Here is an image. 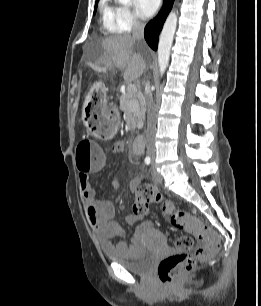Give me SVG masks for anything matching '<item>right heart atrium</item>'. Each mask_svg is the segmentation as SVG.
Wrapping results in <instances>:
<instances>
[{
  "instance_id": "d8ad5b80",
  "label": "right heart atrium",
  "mask_w": 261,
  "mask_h": 306,
  "mask_svg": "<svg viewBox=\"0 0 261 306\" xmlns=\"http://www.w3.org/2000/svg\"><path fill=\"white\" fill-rule=\"evenodd\" d=\"M117 22L125 32L135 29L140 24L137 15L127 6L117 7Z\"/></svg>"
}]
</instances>
